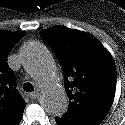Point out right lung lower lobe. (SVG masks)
Returning <instances> with one entry per match:
<instances>
[{"instance_id":"98d812e1","label":"right lung lower lobe","mask_w":125,"mask_h":125,"mask_svg":"<svg viewBox=\"0 0 125 125\" xmlns=\"http://www.w3.org/2000/svg\"><path fill=\"white\" fill-rule=\"evenodd\" d=\"M24 111V110H23ZM23 111L17 114L15 117L7 121L4 125H18L22 119Z\"/></svg>"}]
</instances>
